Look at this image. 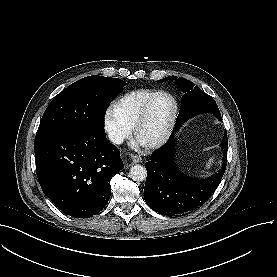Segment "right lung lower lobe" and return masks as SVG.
<instances>
[{"mask_svg":"<svg viewBox=\"0 0 277 277\" xmlns=\"http://www.w3.org/2000/svg\"><path fill=\"white\" fill-rule=\"evenodd\" d=\"M36 173L45 195L65 214L88 218L110 197L109 181L123 169L104 129L52 131L35 137Z\"/></svg>","mask_w":277,"mask_h":277,"instance_id":"obj_1","label":"right lung lower lobe"}]
</instances>
